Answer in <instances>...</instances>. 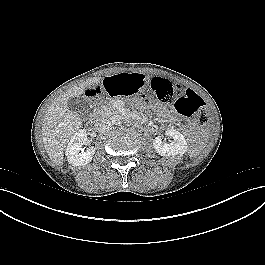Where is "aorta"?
I'll return each instance as SVG.
<instances>
[{
    "mask_svg": "<svg viewBox=\"0 0 265 265\" xmlns=\"http://www.w3.org/2000/svg\"><path fill=\"white\" fill-rule=\"evenodd\" d=\"M123 116L121 114L115 113L110 117V121L113 125H120L123 122Z\"/></svg>",
    "mask_w": 265,
    "mask_h": 265,
    "instance_id": "obj_1",
    "label": "aorta"
}]
</instances>
